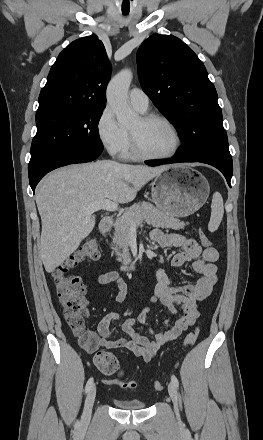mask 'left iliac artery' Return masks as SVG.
Segmentation results:
<instances>
[{
	"label": "left iliac artery",
	"mask_w": 263,
	"mask_h": 440,
	"mask_svg": "<svg viewBox=\"0 0 263 440\" xmlns=\"http://www.w3.org/2000/svg\"><path fill=\"white\" fill-rule=\"evenodd\" d=\"M171 381L177 388L179 387V381L175 375L171 376Z\"/></svg>",
	"instance_id": "left-iliac-artery-1"
}]
</instances>
